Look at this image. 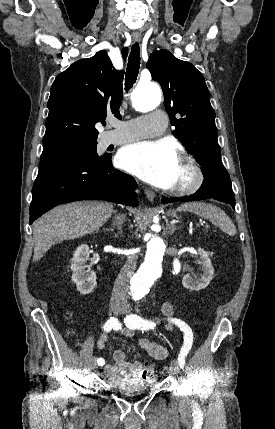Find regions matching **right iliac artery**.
Returning <instances> with one entry per match:
<instances>
[{
    "label": "right iliac artery",
    "instance_id": "82829eb1",
    "mask_svg": "<svg viewBox=\"0 0 275 429\" xmlns=\"http://www.w3.org/2000/svg\"><path fill=\"white\" fill-rule=\"evenodd\" d=\"M120 328L121 327H120L118 320L114 317H111L110 319H108L104 325V330L107 332L111 331V329L118 330ZM97 363L99 366H103L105 364V360L100 357L97 359Z\"/></svg>",
    "mask_w": 275,
    "mask_h": 429
}]
</instances>
